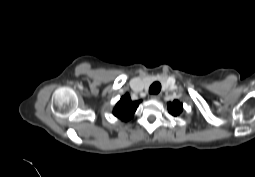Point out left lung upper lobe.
<instances>
[{"label":"left lung upper lobe","mask_w":255,"mask_h":177,"mask_svg":"<svg viewBox=\"0 0 255 177\" xmlns=\"http://www.w3.org/2000/svg\"><path fill=\"white\" fill-rule=\"evenodd\" d=\"M167 108H168V112L175 117L180 115L183 111L182 103H180L178 100H174L173 102H168Z\"/></svg>","instance_id":"1"}]
</instances>
